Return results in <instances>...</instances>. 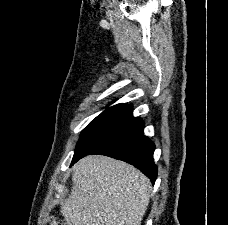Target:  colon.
Instances as JSON below:
<instances>
[{
  "label": "colon",
  "mask_w": 228,
  "mask_h": 225,
  "mask_svg": "<svg viewBox=\"0 0 228 225\" xmlns=\"http://www.w3.org/2000/svg\"><path fill=\"white\" fill-rule=\"evenodd\" d=\"M49 225H64V223L62 221L56 220V219H52L49 223Z\"/></svg>",
  "instance_id": "5ec220e1"
}]
</instances>
